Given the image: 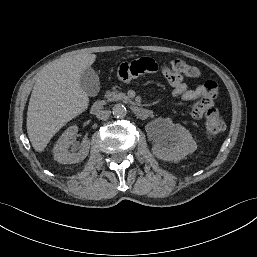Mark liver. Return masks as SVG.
I'll return each instance as SVG.
<instances>
[{
	"instance_id": "liver-1",
	"label": "liver",
	"mask_w": 257,
	"mask_h": 257,
	"mask_svg": "<svg viewBox=\"0 0 257 257\" xmlns=\"http://www.w3.org/2000/svg\"><path fill=\"white\" fill-rule=\"evenodd\" d=\"M95 54L57 59L38 76L27 111V133L33 148L42 152L52 137L89 104L80 77L96 60Z\"/></svg>"
}]
</instances>
